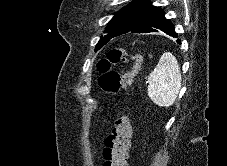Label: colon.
I'll return each mask as SVG.
<instances>
[{
    "mask_svg": "<svg viewBox=\"0 0 227 166\" xmlns=\"http://www.w3.org/2000/svg\"><path fill=\"white\" fill-rule=\"evenodd\" d=\"M121 61L130 64L129 71L119 74L110 70L111 64ZM141 65L140 55L129 53L118 47L110 49L106 58L98 63L101 88L112 95L125 91L131 85L133 77L140 71ZM131 138L132 128L129 119L126 115L119 114L111 134L105 140L103 166H127Z\"/></svg>",
    "mask_w": 227,
    "mask_h": 166,
    "instance_id": "1",
    "label": "colon"
}]
</instances>
